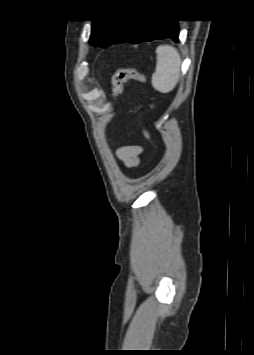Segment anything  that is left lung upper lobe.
I'll return each instance as SVG.
<instances>
[{
    "instance_id": "obj_1",
    "label": "left lung upper lobe",
    "mask_w": 254,
    "mask_h": 355,
    "mask_svg": "<svg viewBox=\"0 0 254 355\" xmlns=\"http://www.w3.org/2000/svg\"><path fill=\"white\" fill-rule=\"evenodd\" d=\"M129 22V19L118 20H92L90 43L108 47L113 45Z\"/></svg>"
}]
</instances>
